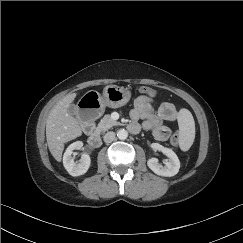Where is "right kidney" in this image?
Here are the masks:
<instances>
[{"label": "right kidney", "instance_id": "right-kidney-1", "mask_svg": "<svg viewBox=\"0 0 243 243\" xmlns=\"http://www.w3.org/2000/svg\"><path fill=\"white\" fill-rule=\"evenodd\" d=\"M82 147L83 142L76 141L68 146L63 156V165L65 169L71 176L74 177L85 174L91 165V159L88 154H82V157L79 160V162L74 161L72 157L73 151L76 149L80 150Z\"/></svg>", "mask_w": 243, "mask_h": 243}]
</instances>
